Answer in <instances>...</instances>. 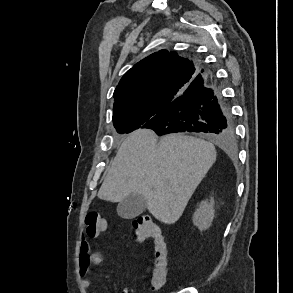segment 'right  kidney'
<instances>
[{"label":"right kidney","instance_id":"right-kidney-1","mask_svg":"<svg viewBox=\"0 0 293 293\" xmlns=\"http://www.w3.org/2000/svg\"><path fill=\"white\" fill-rule=\"evenodd\" d=\"M214 219V199L211 197L210 202L208 200L202 201L199 208L193 215V223L201 231L208 229Z\"/></svg>","mask_w":293,"mask_h":293}]
</instances>
